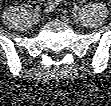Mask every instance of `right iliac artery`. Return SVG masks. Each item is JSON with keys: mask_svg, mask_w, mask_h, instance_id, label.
Returning <instances> with one entry per match:
<instances>
[{"mask_svg": "<svg viewBox=\"0 0 111 106\" xmlns=\"http://www.w3.org/2000/svg\"><path fill=\"white\" fill-rule=\"evenodd\" d=\"M41 11V8L39 7V6H36L35 8H34V12L35 13H39Z\"/></svg>", "mask_w": 111, "mask_h": 106, "instance_id": "1", "label": "right iliac artery"}]
</instances>
